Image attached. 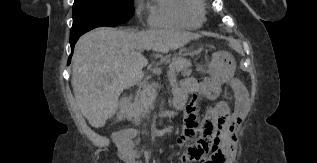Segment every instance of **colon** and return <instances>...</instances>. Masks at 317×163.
<instances>
[{"label":"colon","instance_id":"colon-1","mask_svg":"<svg viewBox=\"0 0 317 163\" xmlns=\"http://www.w3.org/2000/svg\"><path fill=\"white\" fill-rule=\"evenodd\" d=\"M234 90H235L237 103H242L246 98L248 99V93L242 84L235 82L234 83ZM220 113L221 112H220L219 107H218L217 112L209 111L206 114L203 125L207 130L212 131L216 128L217 120L220 116Z\"/></svg>","mask_w":317,"mask_h":163}]
</instances>
